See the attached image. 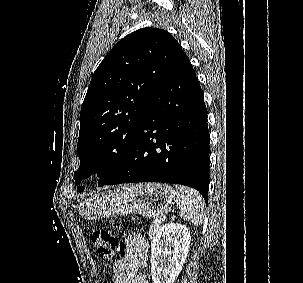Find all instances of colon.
<instances>
[{
  "instance_id": "colon-1",
  "label": "colon",
  "mask_w": 303,
  "mask_h": 283,
  "mask_svg": "<svg viewBox=\"0 0 303 283\" xmlns=\"http://www.w3.org/2000/svg\"><path fill=\"white\" fill-rule=\"evenodd\" d=\"M91 241L99 257L107 261L124 249V243L119 237L103 229L93 230Z\"/></svg>"
}]
</instances>
